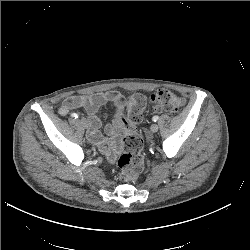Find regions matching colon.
Returning <instances> with one entry per match:
<instances>
[{"mask_svg":"<svg viewBox=\"0 0 250 250\" xmlns=\"http://www.w3.org/2000/svg\"><path fill=\"white\" fill-rule=\"evenodd\" d=\"M150 101L157 109L169 113L177 112L184 103L183 98L167 89L154 92L150 96ZM145 105L146 98L141 94H135L126 103L127 117L117 114L124 129L121 140L122 154L118 159L119 177L125 182L136 181L144 167L143 140L135 126L143 120Z\"/></svg>","mask_w":250,"mask_h":250,"instance_id":"colon-1","label":"colon"}]
</instances>
